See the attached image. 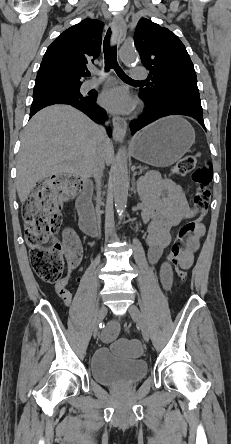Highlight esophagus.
<instances>
[{
  "instance_id": "obj_1",
  "label": "esophagus",
  "mask_w": 231,
  "mask_h": 444,
  "mask_svg": "<svg viewBox=\"0 0 231 444\" xmlns=\"http://www.w3.org/2000/svg\"><path fill=\"white\" fill-rule=\"evenodd\" d=\"M126 23L121 15L116 16L114 25H113V32L114 37L118 36V43L121 44L125 37H126ZM112 124H113V138L116 141H122L125 137L126 130H127V122L122 117H113L112 118Z\"/></svg>"
}]
</instances>
